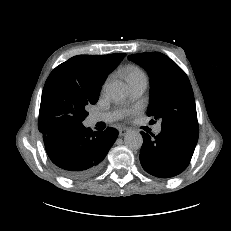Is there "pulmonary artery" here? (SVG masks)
<instances>
[{
	"mask_svg": "<svg viewBox=\"0 0 231 231\" xmlns=\"http://www.w3.org/2000/svg\"><path fill=\"white\" fill-rule=\"evenodd\" d=\"M147 83H140L136 84L130 87V91L133 97L138 98L140 97L145 89H146ZM121 114L119 112H109V113H93L90 115L89 120L92 124H95L97 122H109L116 120L120 118ZM162 130V127L160 124L156 125L154 127V133L159 134Z\"/></svg>",
	"mask_w": 231,
	"mask_h": 231,
	"instance_id": "obj_1",
	"label": "pulmonary artery"
}]
</instances>
